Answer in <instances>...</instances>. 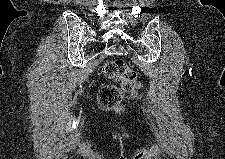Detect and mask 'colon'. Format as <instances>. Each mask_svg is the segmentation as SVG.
Instances as JSON below:
<instances>
[{
    "label": "colon",
    "instance_id": "obj_1",
    "mask_svg": "<svg viewBox=\"0 0 225 159\" xmlns=\"http://www.w3.org/2000/svg\"><path fill=\"white\" fill-rule=\"evenodd\" d=\"M102 74L107 79L120 82L119 86L105 85L99 91V103L107 109L119 105L124 94H134L142 87L136 71L122 59L107 61L102 68Z\"/></svg>",
    "mask_w": 225,
    "mask_h": 159
}]
</instances>
